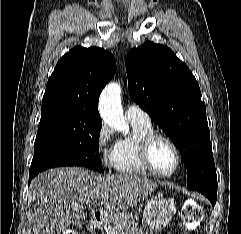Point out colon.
Wrapping results in <instances>:
<instances>
[{"label": "colon", "instance_id": "5ec220e1", "mask_svg": "<svg viewBox=\"0 0 241 234\" xmlns=\"http://www.w3.org/2000/svg\"><path fill=\"white\" fill-rule=\"evenodd\" d=\"M203 216L202 209L195 202L188 203L182 211V221L187 229H194L198 226ZM69 234H74L70 232Z\"/></svg>", "mask_w": 241, "mask_h": 234}]
</instances>
